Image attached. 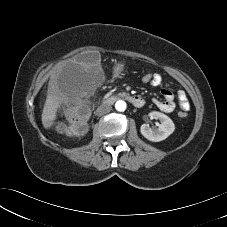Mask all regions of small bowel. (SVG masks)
<instances>
[{"mask_svg": "<svg viewBox=\"0 0 227 227\" xmlns=\"http://www.w3.org/2000/svg\"><path fill=\"white\" fill-rule=\"evenodd\" d=\"M153 87H160L161 88V94L164 97V100H160L158 98L153 99V103L155 106L160 109L163 112L170 113L174 111L176 107L175 103V96L173 92L165 87H163L162 84V77L160 74H155V79L153 83L151 84ZM178 101H179V107L182 111H188L190 109V103L189 100L185 94L184 91H178L177 93Z\"/></svg>", "mask_w": 227, "mask_h": 227, "instance_id": "obj_1", "label": "small bowel"}]
</instances>
